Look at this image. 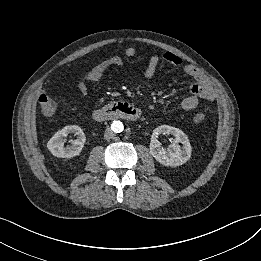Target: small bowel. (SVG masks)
Instances as JSON below:
<instances>
[{
    "label": "small bowel",
    "mask_w": 261,
    "mask_h": 261,
    "mask_svg": "<svg viewBox=\"0 0 261 261\" xmlns=\"http://www.w3.org/2000/svg\"><path fill=\"white\" fill-rule=\"evenodd\" d=\"M125 55L128 58L134 57L136 55V49L133 47H129L125 51ZM163 59L171 64L174 65H181L182 60L172 53H165L163 55ZM160 63V56L159 55H152L149 60L148 64L145 69V77L149 80H157V69ZM124 61L119 56H114L109 60H106L97 66L90 68L80 83L78 84V90L81 96H85L87 93L86 84L91 83L99 79L105 72L112 66H119L123 65ZM184 71L186 74L191 76L195 81L200 80L204 74L203 71L195 65L187 64L184 66ZM193 82V83H194ZM214 97V89L211 85L202 93L199 94H190L185 97L181 102V108L183 110L189 111L195 109L200 100H211Z\"/></svg>",
    "instance_id": "small-bowel-1"
}]
</instances>
